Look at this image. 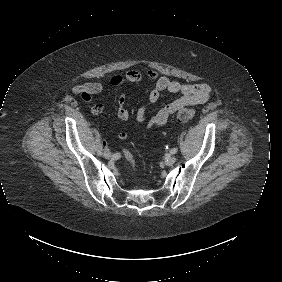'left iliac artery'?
Wrapping results in <instances>:
<instances>
[{"label": "left iliac artery", "instance_id": "obj_1", "mask_svg": "<svg viewBox=\"0 0 282 282\" xmlns=\"http://www.w3.org/2000/svg\"><path fill=\"white\" fill-rule=\"evenodd\" d=\"M177 151H178V148H173V149H171L170 153L175 154V153H177Z\"/></svg>", "mask_w": 282, "mask_h": 282}]
</instances>
